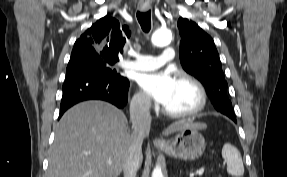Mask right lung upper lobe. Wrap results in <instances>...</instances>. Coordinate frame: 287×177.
I'll return each mask as SVG.
<instances>
[{
    "mask_svg": "<svg viewBox=\"0 0 287 177\" xmlns=\"http://www.w3.org/2000/svg\"><path fill=\"white\" fill-rule=\"evenodd\" d=\"M130 34L127 26L120 27L115 18L105 16L76 40L70 61L95 57L116 62Z\"/></svg>",
    "mask_w": 287,
    "mask_h": 177,
    "instance_id": "right-lung-upper-lobe-1",
    "label": "right lung upper lobe"
}]
</instances>
